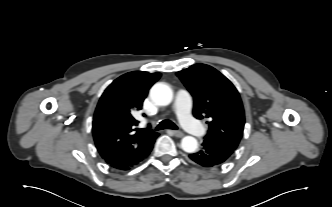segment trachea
<instances>
[{
  "instance_id": "obj_1",
  "label": "trachea",
  "mask_w": 332,
  "mask_h": 207,
  "mask_svg": "<svg viewBox=\"0 0 332 207\" xmlns=\"http://www.w3.org/2000/svg\"><path fill=\"white\" fill-rule=\"evenodd\" d=\"M163 129L177 130L178 127L176 126L175 123H173L170 120H163L158 124V126L156 127V130H163Z\"/></svg>"
}]
</instances>
